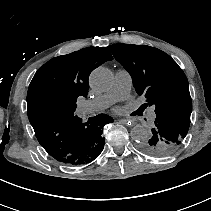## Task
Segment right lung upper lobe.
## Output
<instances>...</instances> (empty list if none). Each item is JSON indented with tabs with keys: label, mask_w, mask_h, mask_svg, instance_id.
<instances>
[{
	"label": "right lung upper lobe",
	"mask_w": 211,
	"mask_h": 211,
	"mask_svg": "<svg viewBox=\"0 0 211 211\" xmlns=\"http://www.w3.org/2000/svg\"><path fill=\"white\" fill-rule=\"evenodd\" d=\"M111 54L104 47H89L55 57L35 73L27 93V112L32 125L62 116L86 97L90 73Z\"/></svg>",
	"instance_id": "obj_1"
}]
</instances>
